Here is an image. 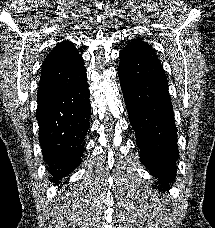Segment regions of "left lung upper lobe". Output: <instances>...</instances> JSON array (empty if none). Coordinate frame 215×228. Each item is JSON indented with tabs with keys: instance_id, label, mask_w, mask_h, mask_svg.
Segmentation results:
<instances>
[{
	"instance_id": "obj_1",
	"label": "left lung upper lobe",
	"mask_w": 215,
	"mask_h": 228,
	"mask_svg": "<svg viewBox=\"0 0 215 228\" xmlns=\"http://www.w3.org/2000/svg\"><path fill=\"white\" fill-rule=\"evenodd\" d=\"M122 51L135 52L140 54H155L151 46L140 39L132 40L130 43L126 45V47Z\"/></svg>"
}]
</instances>
